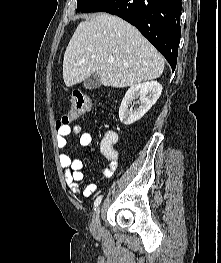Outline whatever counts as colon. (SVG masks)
<instances>
[{
	"mask_svg": "<svg viewBox=\"0 0 221 263\" xmlns=\"http://www.w3.org/2000/svg\"><path fill=\"white\" fill-rule=\"evenodd\" d=\"M92 101L82 94H74L71 98V105L68 114L63 116L58 122L57 127L60 129L66 127L69 122L79 118L92 108Z\"/></svg>",
	"mask_w": 221,
	"mask_h": 263,
	"instance_id": "5ec220e1",
	"label": "colon"
}]
</instances>
